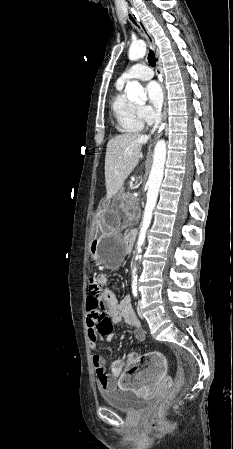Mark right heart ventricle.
I'll list each match as a JSON object with an SVG mask.
<instances>
[{"label": "right heart ventricle", "mask_w": 233, "mask_h": 449, "mask_svg": "<svg viewBox=\"0 0 233 449\" xmlns=\"http://www.w3.org/2000/svg\"><path fill=\"white\" fill-rule=\"evenodd\" d=\"M123 87L124 84L116 83V92L111 102L116 128L121 133H139L144 129L145 121L140 115L139 106L125 96Z\"/></svg>", "instance_id": "right-heart-ventricle-1"}]
</instances>
